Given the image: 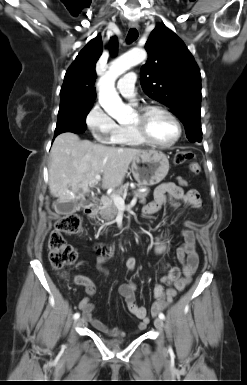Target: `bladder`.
Listing matches in <instances>:
<instances>
[{
    "mask_svg": "<svg viewBox=\"0 0 247 385\" xmlns=\"http://www.w3.org/2000/svg\"><path fill=\"white\" fill-rule=\"evenodd\" d=\"M120 341L116 340V341H113L111 344H119Z\"/></svg>",
    "mask_w": 247,
    "mask_h": 385,
    "instance_id": "obj_1",
    "label": "bladder"
}]
</instances>
